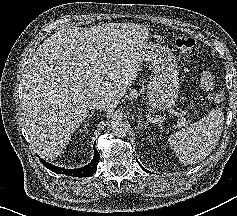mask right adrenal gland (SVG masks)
<instances>
[{"instance_id": "right-adrenal-gland-1", "label": "right adrenal gland", "mask_w": 237, "mask_h": 216, "mask_svg": "<svg viewBox=\"0 0 237 216\" xmlns=\"http://www.w3.org/2000/svg\"><path fill=\"white\" fill-rule=\"evenodd\" d=\"M92 123H93V120H92V114H91V116L84 123V129H86L87 126L89 127Z\"/></svg>"}]
</instances>
